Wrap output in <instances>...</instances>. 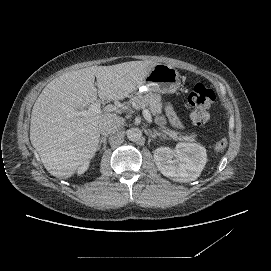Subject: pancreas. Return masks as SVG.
<instances>
[{"label":"pancreas","mask_w":271,"mask_h":271,"mask_svg":"<svg viewBox=\"0 0 271 271\" xmlns=\"http://www.w3.org/2000/svg\"><path fill=\"white\" fill-rule=\"evenodd\" d=\"M128 104H132L135 109L148 107L153 115H158L162 112L161 96L153 92H148L144 95L131 96ZM161 131L164 137L169 136L173 140L194 142L196 137V135L183 136L179 132L167 128H161Z\"/></svg>","instance_id":"obj_1"}]
</instances>
